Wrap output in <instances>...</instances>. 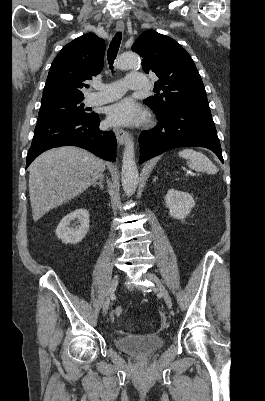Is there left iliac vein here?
Wrapping results in <instances>:
<instances>
[{"label":"left iliac vein","instance_id":"1","mask_svg":"<svg viewBox=\"0 0 265 401\" xmlns=\"http://www.w3.org/2000/svg\"><path fill=\"white\" fill-rule=\"evenodd\" d=\"M147 277H148L149 279L153 280V281L156 283V286H157V288H158V290H159V293L163 296L164 301H165L167 307H168L169 309H171V308H172V299H171V296H170V294L168 293L167 289L164 287V285H162L161 283L158 282V280H157V278H156L155 275H153V274H147Z\"/></svg>","mask_w":265,"mask_h":401}]
</instances>
